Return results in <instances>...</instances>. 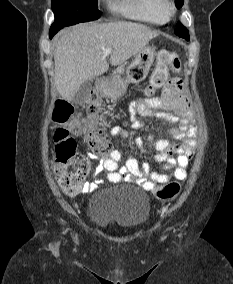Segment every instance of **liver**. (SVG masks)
<instances>
[{
  "label": "liver",
  "instance_id": "obj_1",
  "mask_svg": "<svg viewBox=\"0 0 233 284\" xmlns=\"http://www.w3.org/2000/svg\"><path fill=\"white\" fill-rule=\"evenodd\" d=\"M158 36L145 25L132 22L80 24L54 39L55 85L59 95L71 101L86 82L109 68L105 53L111 48L110 63L118 66L135 56Z\"/></svg>",
  "mask_w": 233,
  "mask_h": 284
}]
</instances>
